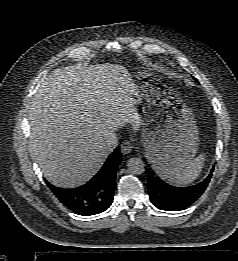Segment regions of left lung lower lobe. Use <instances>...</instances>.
I'll use <instances>...</instances> for the list:
<instances>
[{
  "instance_id": "0a47b994",
  "label": "left lung lower lobe",
  "mask_w": 238,
  "mask_h": 261,
  "mask_svg": "<svg viewBox=\"0 0 238 261\" xmlns=\"http://www.w3.org/2000/svg\"><path fill=\"white\" fill-rule=\"evenodd\" d=\"M214 166L208 177L191 187H175L161 180L151 168H147L148 193L150 200L158 209L179 211L194 203L205 191L212 177Z\"/></svg>"
}]
</instances>
